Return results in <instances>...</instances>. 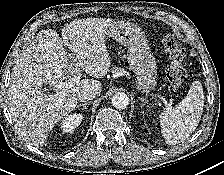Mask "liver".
<instances>
[{"mask_svg":"<svg viewBox=\"0 0 224 175\" xmlns=\"http://www.w3.org/2000/svg\"><path fill=\"white\" fill-rule=\"evenodd\" d=\"M113 23L105 18L74 20L65 24L62 38L55 30H42L23 52L13 67L8 88L9 111L23 140L41 146L55 124L76 107L79 93L101 92L100 81L82 79L76 83L73 78L81 69L94 78L107 74L111 60L104 37ZM71 76L67 86L56 87ZM48 84L55 93L42 92Z\"/></svg>","mask_w":224,"mask_h":175,"instance_id":"obj_1","label":"liver"}]
</instances>
